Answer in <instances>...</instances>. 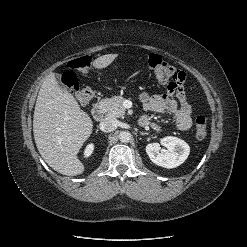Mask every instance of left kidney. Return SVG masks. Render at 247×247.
Instances as JSON below:
<instances>
[{"mask_svg": "<svg viewBox=\"0 0 247 247\" xmlns=\"http://www.w3.org/2000/svg\"><path fill=\"white\" fill-rule=\"evenodd\" d=\"M162 150L159 143H150L146 146V153L150 160L164 168H175L181 165L190 153L189 145L182 139L167 136L161 139Z\"/></svg>", "mask_w": 247, "mask_h": 247, "instance_id": "1", "label": "left kidney"}]
</instances>
